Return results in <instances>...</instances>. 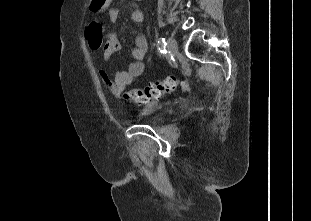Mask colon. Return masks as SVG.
<instances>
[{
	"label": "colon",
	"mask_w": 311,
	"mask_h": 221,
	"mask_svg": "<svg viewBox=\"0 0 311 221\" xmlns=\"http://www.w3.org/2000/svg\"><path fill=\"white\" fill-rule=\"evenodd\" d=\"M87 36L90 47L98 50L104 36V24L101 19L95 18L87 25ZM180 78L168 76L161 81L141 88H132L123 94L126 100L145 105H153L166 95L172 94L177 89Z\"/></svg>",
	"instance_id": "5ec220e1"
}]
</instances>
